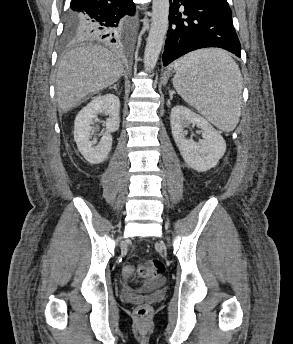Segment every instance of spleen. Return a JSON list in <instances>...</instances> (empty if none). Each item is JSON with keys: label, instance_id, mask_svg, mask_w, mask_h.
<instances>
[{"label": "spleen", "instance_id": "3e777b00", "mask_svg": "<svg viewBox=\"0 0 293 344\" xmlns=\"http://www.w3.org/2000/svg\"><path fill=\"white\" fill-rule=\"evenodd\" d=\"M173 85L190 106L219 129L235 128L241 113L242 75L221 49H201L176 61Z\"/></svg>", "mask_w": 293, "mask_h": 344}]
</instances>
